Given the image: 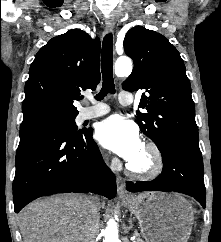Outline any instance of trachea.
<instances>
[{
	"label": "trachea",
	"instance_id": "obj_1",
	"mask_svg": "<svg viewBox=\"0 0 221 242\" xmlns=\"http://www.w3.org/2000/svg\"><path fill=\"white\" fill-rule=\"evenodd\" d=\"M103 85L96 100H102L108 93L115 94L113 80V36L111 33L105 35L102 43L101 56Z\"/></svg>",
	"mask_w": 221,
	"mask_h": 242
}]
</instances>
